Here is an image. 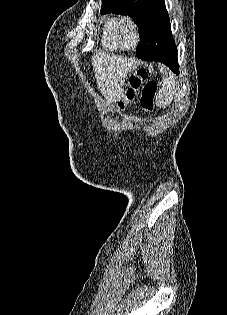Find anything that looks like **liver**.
<instances>
[{
	"label": "liver",
	"instance_id": "liver-1",
	"mask_svg": "<svg viewBox=\"0 0 227 315\" xmlns=\"http://www.w3.org/2000/svg\"><path fill=\"white\" fill-rule=\"evenodd\" d=\"M98 89L108 104L116 103L124 96L127 74L135 68L132 59L117 55L97 53L92 56Z\"/></svg>",
	"mask_w": 227,
	"mask_h": 315
}]
</instances>
